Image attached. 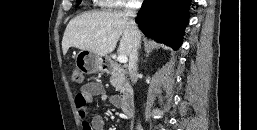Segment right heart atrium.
Wrapping results in <instances>:
<instances>
[{"instance_id": "1", "label": "right heart atrium", "mask_w": 257, "mask_h": 130, "mask_svg": "<svg viewBox=\"0 0 257 130\" xmlns=\"http://www.w3.org/2000/svg\"><path fill=\"white\" fill-rule=\"evenodd\" d=\"M140 0H98V3L102 7H129L138 4Z\"/></svg>"}]
</instances>
